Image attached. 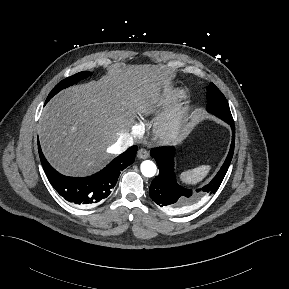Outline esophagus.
Returning <instances> with one entry per match:
<instances>
[{"mask_svg":"<svg viewBox=\"0 0 289 289\" xmlns=\"http://www.w3.org/2000/svg\"><path fill=\"white\" fill-rule=\"evenodd\" d=\"M137 156L139 159H146L149 157V152L146 149L141 148L138 150Z\"/></svg>","mask_w":289,"mask_h":289,"instance_id":"esophagus-1","label":"esophagus"}]
</instances>
